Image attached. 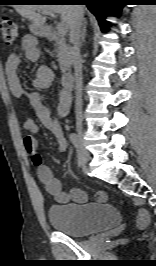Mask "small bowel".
<instances>
[{
	"instance_id": "c3829d8e",
	"label": "small bowel",
	"mask_w": 156,
	"mask_h": 266,
	"mask_svg": "<svg viewBox=\"0 0 156 266\" xmlns=\"http://www.w3.org/2000/svg\"><path fill=\"white\" fill-rule=\"evenodd\" d=\"M20 49L25 53L29 60H35L38 57L39 49L37 47L36 39L33 36H24ZM21 63V58L18 54H10L5 63V75L8 87L11 93L20 101H27L34 110L37 118L41 124L49 129L55 136L58 143L56 154H60L67 149V140L65 138L64 129L61 119L66 117L71 107V97L67 91H62L59 95L57 105V117L52 116L49 108L42 102L39 93H27L21 83L18 75V68ZM54 80L52 71L46 67L41 66L36 73L33 81L34 87L37 89L48 88ZM23 112L28 113L26 107H23ZM24 129L29 133L23 139V147L26 153L32 158L38 154V143L35 134L39 132V125L31 117H26L24 121ZM37 166V176L40 182L44 185L46 191L54 197L58 203H67L71 200L84 203L87 201V195L84 191L74 188L68 192L62 191L60 181L54 177L52 170L42 162ZM98 202H105L107 195L105 192H97L94 196Z\"/></svg>"
}]
</instances>
